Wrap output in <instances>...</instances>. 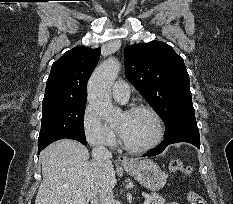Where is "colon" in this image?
<instances>
[{
  "mask_svg": "<svg viewBox=\"0 0 233 204\" xmlns=\"http://www.w3.org/2000/svg\"><path fill=\"white\" fill-rule=\"evenodd\" d=\"M169 169L172 173H182L185 175H190L191 168L186 166L181 160H172L169 163ZM187 198L191 204H207L201 195L195 191H189Z\"/></svg>",
  "mask_w": 233,
  "mask_h": 204,
  "instance_id": "1",
  "label": "colon"
}]
</instances>
